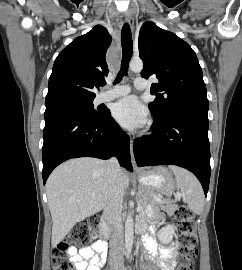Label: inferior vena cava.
Returning <instances> with one entry per match:
<instances>
[{"label": "inferior vena cava", "instance_id": "obj_1", "mask_svg": "<svg viewBox=\"0 0 242 270\" xmlns=\"http://www.w3.org/2000/svg\"><path fill=\"white\" fill-rule=\"evenodd\" d=\"M108 174L110 178V188L105 206V217L111 229V265L119 268L123 267V195L124 185L121 178V167L116 158L107 162Z\"/></svg>", "mask_w": 242, "mask_h": 270}]
</instances>
